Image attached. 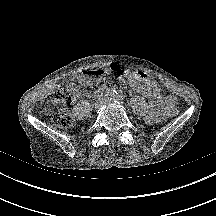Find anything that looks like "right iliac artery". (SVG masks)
<instances>
[{"label": "right iliac artery", "mask_w": 216, "mask_h": 216, "mask_svg": "<svg viewBox=\"0 0 216 216\" xmlns=\"http://www.w3.org/2000/svg\"><path fill=\"white\" fill-rule=\"evenodd\" d=\"M115 92H116L115 90H109L105 95L106 98L112 100L115 97Z\"/></svg>", "instance_id": "right-iliac-artery-1"}]
</instances>
